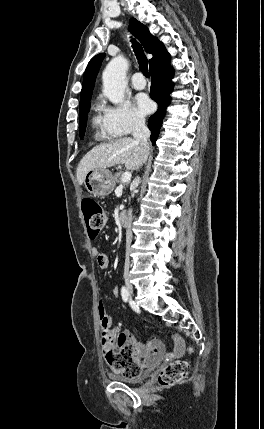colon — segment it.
<instances>
[{"label": "colon", "instance_id": "colon-1", "mask_svg": "<svg viewBox=\"0 0 264 429\" xmlns=\"http://www.w3.org/2000/svg\"><path fill=\"white\" fill-rule=\"evenodd\" d=\"M82 212L91 237H95L106 225L108 214L103 206L90 196L81 202ZM98 314L102 326V344L107 366L114 372L133 377L141 372V366L134 355L128 336L120 331L109 329V318L104 306L99 304ZM189 373L185 361L176 360L166 365L158 374L160 386H172L183 380Z\"/></svg>", "mask_w": 264, "mask_h": 429}]
</instances>
